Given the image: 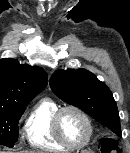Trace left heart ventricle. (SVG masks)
<instances>
[{"label":"left heart ventricle","mask_w":130,"mask_h":153,"mask_svg":"<svg viewBox=\"0 0 130 153\" xmlns=\"http://www.w3.org/2000/svg\"><path fill=\"white\" fill-rule=\"evenodd\" d=\"M61 131L72 144L78 145L85 141L88 128L84 119L74 111H67L61 118Z\"/></svg>","instance_id":"b2bd125f"}]
</instances>
